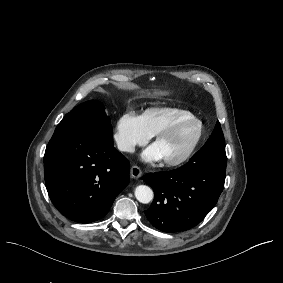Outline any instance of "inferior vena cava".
<instances>
[{
  "label": "inferior vena cava",
  "instance_id": "602c4592",
  "mask_svg": "<svg viewBox=\"0 0 283 283\" xmlns=\"http://www.w3.org/2000/svg\"><path fill=\"white\" fill-rule=\"evenodd\" d=\"M118 148L121 151L132 152L134 151V146L129 143H119Z\"/></svg>",
  "mask_w": 283,
  "mask_h": 283
}]
</instances>
